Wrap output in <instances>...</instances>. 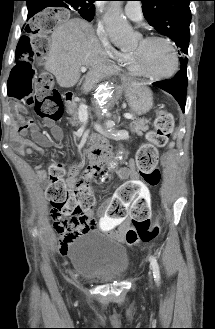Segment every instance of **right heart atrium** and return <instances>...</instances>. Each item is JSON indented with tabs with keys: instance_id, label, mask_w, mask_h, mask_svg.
<instances>
[{
	"instance_id": "1",
	"label": "right heart atrium",
	"mask_w": 215,
	"mask_h": 329,
	"mask_svg": "<svg viewBox=\"0 0 215 329\" xmlns=\"http://www.w3.org/2000/svg\"><path fill=\"white\" fill-rule=\"evenodd\" d=\"M97 36L100 39V42L105 49V51L108 53L110 57L116 60H120L121 58V52H119L111 43V40L108 36V34L105 31V28L99 24L97 27Z\"/></svg>"
}]
</instances>
